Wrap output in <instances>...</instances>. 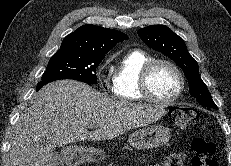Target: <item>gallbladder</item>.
<instances>
[{"label": "gallbladder", "mask_w": 231, "mask_h": 166, "mask_svg": "<svg viewBox=\"0 0 231 166\" xmlns=\"http://www.w3.org/2000/svg\"><path fill=\"white\" fill-rule=\"evenodd\" d=\"M47 166H63L60 156L58 154H55Z\"/></svg>", "instance_id": "bac80fb5"}]
</instances>
